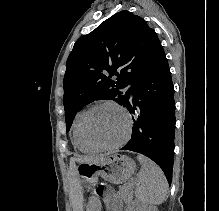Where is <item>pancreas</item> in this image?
<instances>
[{
  "label": "pancreas",
  "instance_id": "obj_1",
  "mask_svg": "<svg viewBox=\"0 0 219 211\" xmlns=\"http://www.w3.org/2000/svg\"><path fill=\"white\" fill-rule=\"evenodd\" d=\"M119 193H120L122 199H124L125 203H127V205H130V203L132 201V193H131L130 189L127 187H120Z\"/></svg>",
  "mask_w": 219,
  "mask_h": 211
}]
</instances>
